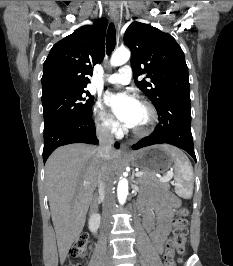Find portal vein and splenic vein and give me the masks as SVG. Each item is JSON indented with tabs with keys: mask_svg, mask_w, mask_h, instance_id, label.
<instances>
[{
	"mask_svg": "<svg viewBox=\"0 0 233 266\" xmlns=\"http://www.w3.org/2000/svg\"><path fill=\"white\" fill-rule=\"evenodd\" d=\"M135 175H136V177H140V176L143 175V173L142 172H136ZM172 176H173V173L172 172H168L165 176L160 177L159 180L162 181V182H167V181H169L172 178ZM88 184H89V182H84L83 183L84 186H86Z\"/></svg>",
	"mask_w": 233,
	"mask_h": 266,
	"instance_id": "18ae733b",
	"label": "portal vein and splenic vein"
}]
</instances>
